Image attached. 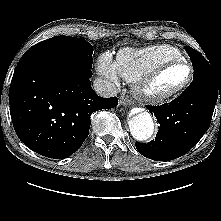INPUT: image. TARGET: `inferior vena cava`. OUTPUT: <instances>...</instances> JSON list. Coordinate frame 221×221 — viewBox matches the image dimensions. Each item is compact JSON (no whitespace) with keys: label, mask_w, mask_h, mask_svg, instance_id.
Instances as JSON below:
<instances>
[{"label":"inferior vena cava","mask_w":221,"mask_h":221,"mask_svg":"<svg viewBox=\"0 0 221 221\" xmlns=\"http://www.w3.org/2000/svg\"><path fill=\"white\" fill-rule=\"evenodd\" d=\"M93 88L98 95L103 97H113L118 93V90L113 83L100 77L94 80Z\"/></svg>","instance_id":"obj_1"}]
</instances>
